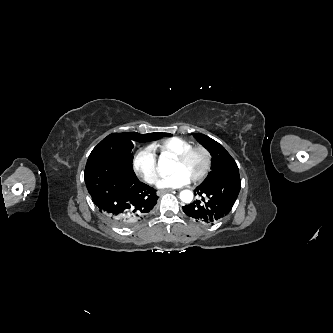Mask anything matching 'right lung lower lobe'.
I'll return each instance as SVG.
<instances>
[{"label":"right lung lower lobe","instance_id":"98d812e1","mask_svg":"<svg viewBox=\"0 0 333 333\" xmlns=\"http://www.w3.org/2000/svg\"><path fill=\"white\" fill-rule=\"evenodd\" d=\"M84 178L92 201L115 226L130 227L153 209L156 191L140 182L133 169L110 161L86 164Z\"/></svg>","mask_w":333,"mask_h":333}]
</instances>
